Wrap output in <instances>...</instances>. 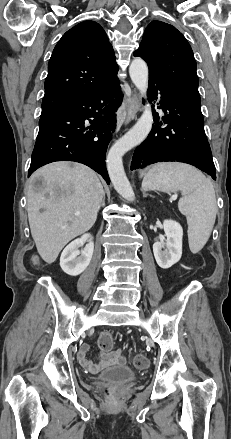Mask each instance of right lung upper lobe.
<instances>
[{
	"label": "right lung upper lobe",
	"mask_w": 231,
	"mask_h": 439,
	"mask_svg": "<svg viewBox=\"0 0 231 439\" xmlns=\"http://www.w3.org/2000/svg\"><path fill=\"white\" fill-rule=\"evenodd\" d=\"M117 71L103 28L94 21L77 24L62 36L49 60L41 117L106 88Z\"/></svg>",
	"instance_id": "1"
}]
</instances>
